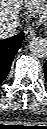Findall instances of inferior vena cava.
<instances>
[{
	"label": "inferior vena cava",
	"mask_w": 47,
	"mask_h": 129,
	"mask_svg": "<svg viewBox=\"0 0 47 129\" xmlns=\"http://www.w3.org/2000/svg\"><path fill=\"white\" fill-rule=\"evenodd\" d=\"M19 20H13L7 24H2L0 27V38L5 39L14 36L18 33L17 27H19Z\"/></svg>",
	"instance_id": "obj_1"
}]
</instances>
